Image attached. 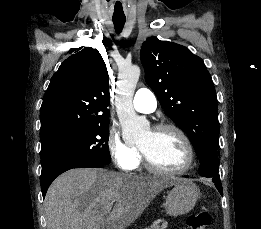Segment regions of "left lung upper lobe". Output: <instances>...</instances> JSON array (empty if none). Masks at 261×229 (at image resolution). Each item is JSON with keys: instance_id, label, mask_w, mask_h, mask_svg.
Here are the masks:
<instances>
[{"instance_id": "left-lung-upper-lobe-1", "label": "left lung upper lobe", "mask_w": 261, "mask_h": 229, "mask_svg": "<svg viewBox=\"0 0 261 229\" xmlns=\"http://www.w3.org/2000/svg\"><path fill=\"white\" fill-rule=\"evenodd\" d=\"M140 57L147 84L165 113L189 136L199 161L217 154V98L203 60L182 45L154 37L143 43Z\"/></svg>"}]
</instances>
